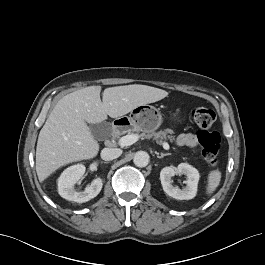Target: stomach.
Here are the masks:
<instances>
[{"label": "stomach", "mask_w": 265, "mask_h": 265, "mask_svg": "<svg viewBox=\"0 0 265 265\" xmlns=\"http://www.w3.org/2000/svg\"><path fill=\"white\" fill-rule=\"evenodd\" d=\"M125 118L123 122L127 128L146 133L155 131L163 122L160 111L151 105L138 106L130 112L129 117Z\"/></svg>", "instance_id": "1"}]
</instances>
